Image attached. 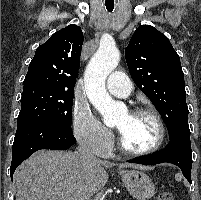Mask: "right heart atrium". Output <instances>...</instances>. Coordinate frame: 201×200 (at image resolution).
<instances>
[{"mask_svg":"<svg viewBox=\"0 0 201 200\" xmlns=\"http://www.w3.org/2000/svg\"><path fill=\"white\" fill-rule=\"evenodd\" d=\"M73 131L77 141L98 156H107L113 145L112 133L95 117L88 105H76Z\"/></svg>","mask_w":201,"mask_h":200,"instance_id":"d8ad5b80","label":"right heart atrium"}]
</instances>
